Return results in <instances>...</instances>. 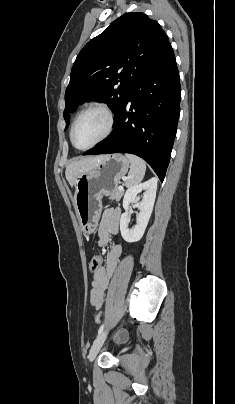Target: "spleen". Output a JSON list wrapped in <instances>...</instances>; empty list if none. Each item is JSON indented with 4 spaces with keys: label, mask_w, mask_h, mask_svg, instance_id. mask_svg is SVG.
Here are the masks:
<instances>
[{
    "label": "spleen",
    "mask_w": 235,
    "mask_h": 404,
    "mask_svg": "<svg viewBox=\"0 0 235 404\" xmlns=\"http://www.w3.org/2000/svg\"><path fill=\"white\" fill-rule=\"evenodd\" d=\"M126 157L131 164L126 186L132 187L143 180L146 171V164L140 157L136 155L126 154Z\"/></svg>",
    "instance_id": "3e777b00"
}]
</instances>
